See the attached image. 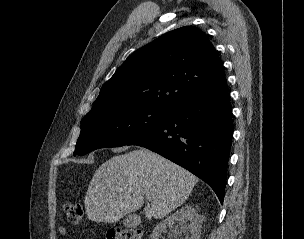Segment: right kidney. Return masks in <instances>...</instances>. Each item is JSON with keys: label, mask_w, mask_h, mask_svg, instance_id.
Segmentation results:
<instances>
[{"label": "right kidney", "mask_w": 304, "mask_h": 239, "mask_svg": "<svg viewBox=\"0 0 304 239\" xmlns=\"http://www.w3.org/2000/svg\"><path fill=\"white\" fill-rule=\"evenodd\" d=\"M168 227L170 239H199L202 225L197 211L186 205L156 225L150 239H159Z\"/></svg>", "instance_id": "obj_1"}]
</instances>
